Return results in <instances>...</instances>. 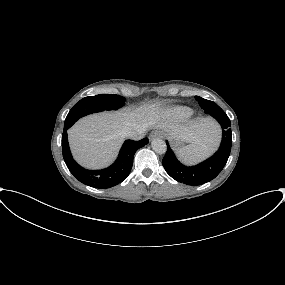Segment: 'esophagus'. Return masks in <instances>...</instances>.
<instances>
[{
    "mask_svg": "<svg viewBox=\"0 0 285 285\" xmlns=\"http://www.w3.org/2000/svg\"><path fill=\"white\" fill-rule=\"evenodd\" d=\"M155 137H162V134L158 131H153L149 135V140L154 139Z\"/></svg>",
    "mask_w": 285,
    "mask_h": 285,
    "instance_id": "obj_1",
    "label": "esophagus"
}]
</instances>
